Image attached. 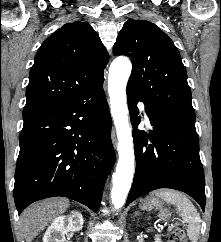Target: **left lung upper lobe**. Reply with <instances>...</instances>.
Instances as JSON below:
<instances>
[{"label":"left lung upper lobe","mask_w":221,"mask_h":242,"mask_svg":"<svg viewBox=\"0 0 221 242\" xmlns=\"http://www.w3.org/2000/svg\"><path fill=\"white\" fill-rule=\"evenodd\" d=\"M129 56L132 73L127 89L150 108L195 122L186 69L173 41L155 24L128 19L113 47Z\"/></svg>","instance_id":"1"}]
</instances>
